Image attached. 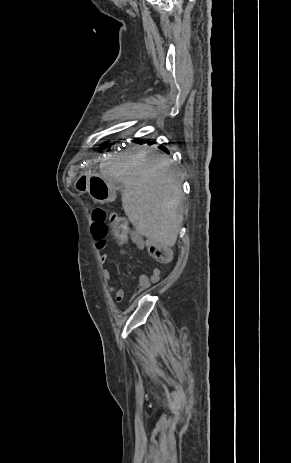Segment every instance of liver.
<instances>
[{
    "label": "liver",
    "instance_id": "6515ba94",
    "mask_svg": "<svg viewBox=\"0 0 291 463\" xmlns=\"http://www.w3.org/2000/svg\"><path fill=\"white\" fill-rule=\"evenodd\" d=\"M171 163L151 149L132 148L100 164L103 178L123 184L122 206L136 231L165 247L174 246L183 222V193Z\"/></svg>",
    "mask_w": 291,
    "mask_h": 463
}]
</instances>
